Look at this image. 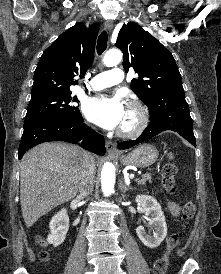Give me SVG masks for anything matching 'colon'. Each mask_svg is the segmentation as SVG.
Masks as SVG:
<instances>
[{"mask_svg":"<svg viewBox=\"0 0 221 274\" xmlns=\"http://www.w3.org/2000/svg\"><path fill=\"white\" fill-rule=\"evenodd\" d=\"M176 173H177V168L173 161L168 162L162 168V185L164 189L169 193H173L175 191ZM194 214H195L194 204L192 202H186L183 205V213H182L183 220L186 223H188L190 220H192ZM183 237H184V232L172 233L168 237L166 250L161 255V257L155 262L154 274H166L168 264H169L170 254L180 244ZM38 243L42 244L41 238H38ZM40 257L41 259H46L47 253L42 252L40 254Z\"/></svg>","mask_w":221,"mask_h":274,"instance_id":"colon-1","label":"colon"}]
</instances>
